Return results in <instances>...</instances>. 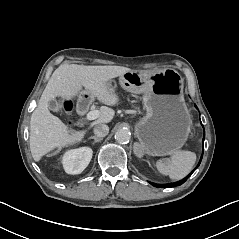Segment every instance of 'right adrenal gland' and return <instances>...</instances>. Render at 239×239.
<instances>
[{
    "mask_svg": "<svg viewBox=\"0 0 239 239\" xmlns=\"http://www.w3.org/2000/svg\"><path fill=\"white\" fill-rule=\"evenodd\" d=\"M90 139H93V140H94L93 143L100 142V141L103 140V138H99V137H91Z\"/></svg>",
    "mask_w": 239,
    "mask_h": 239,
    "instance_id": "obj_1",
    "label": "right adrenal gland"
}]
</instances>
